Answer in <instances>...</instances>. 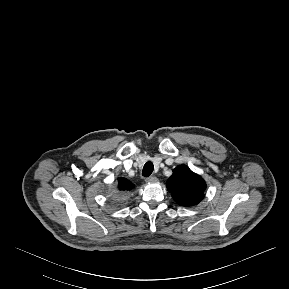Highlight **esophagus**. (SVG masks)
Segmentation results:
<instances>
[{
  "mask_svg": "<svg viewBox=\"0 0 289 289\" xmlns=\"http://www.w3.org/2000/svg\"><path fill=\"white\" fill-rule=\"evenodd\" d=\"M157 180L158 179L155 176H150V177H147L145 181L148 183H153V182H156Z\"/></svg>",
  "mask_w": 289,
  "mask_h": 289,
  "instance_id": "esophagus-1",
  "label": "esophagus"
}]
</instances>
